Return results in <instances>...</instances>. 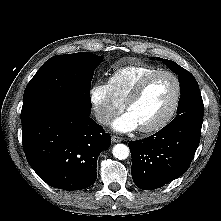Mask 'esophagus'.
I'll return each mask as SVG.
<instances>
[{
  "label": "esophagus",
  "instance_id": "34e87169",
  "mask_svg": "<svg viewBox=\"0 0 221 221\" xmlns=\"http://www.w3.org/2000/svg\"><path fill=\"white\" fill-rule=\"evenodd\" d=\"M111 139H112V142H114V143H118V142H121L123 140L121 137L116 136V135H113L111 137Z\"/></svg>",
  "mask_w": 221,
  "mask_h": 221
}]
</instances>
